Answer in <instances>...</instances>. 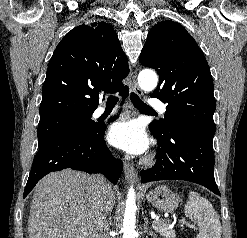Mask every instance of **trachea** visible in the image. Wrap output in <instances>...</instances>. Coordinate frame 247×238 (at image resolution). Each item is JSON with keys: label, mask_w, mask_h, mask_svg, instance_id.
<instances>
[{"label": "trachea", "mask_w": 247, "mask_h": 238, "mask_svg": "<svg viewBox=\"0 0 247 238\" xmlns=\"http://www.w3.org/2000/svg\"><path fill=\"white\" fill-rule=\"evenodd\" d=\"M130 99L132 101V103L134 104L135 107H137L138 109H142V110H149V111H153L152 108H150L148 105H146L137 94H135L134 92L131 93L130 95ZM119 100V98L117 96H113L110 95L107 99V103H117Z\"/></svg>", "instance_id": "3493384b"}]
</instances>
